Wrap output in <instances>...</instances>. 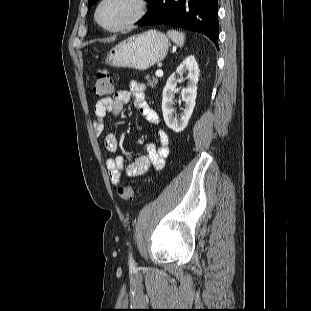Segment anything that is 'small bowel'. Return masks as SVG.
I'll return each mask as SVG.
<instances>
[{
    "label": "small bowel",
    "mask_w": 311,
    "mask_h": 311,
    "mask_svg": "<svg viewBox=\"0 0 311 311\" xmlns=\"http://www.w3.org/2000/svg\"><path fill=\"white\" fill-rule=\"evenodd\" d=\"M133 101L140 113L152 125L159 123V116L148 104L143 84L132 81L129 90H118L112 97L99 100L94 107L92 129L96 136L104 131V120L108 114L119 115L124 106ZM159 145L150 142L146 145V154L139 156L133 162L126 164V157L122 155L107 159L106 169L113 184L120 183L123 173L131 177L144 175L151 167L155 170L163 168L165 159L169 154V136L163 129L157 130ZM104 146L108 152L118 149V139L114 133H108L104 137Z\"/></svg>",
    "instance_id": "small-bowel-1"
}]
</instances>
